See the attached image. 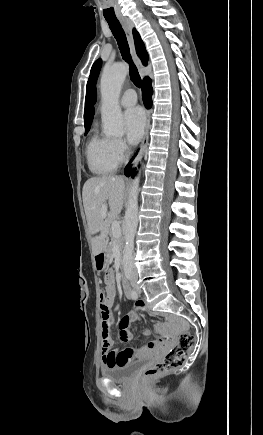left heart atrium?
I'll return each mask as SVG.
<instances>
[{
  "label": "left heart atrium",
  "mask_w": 263,
  "mask_h": 435,
  "mask_svg": "<svg viewBox=\"0 0 263 435\" xmlns=\"http://www.w3.org/2000/svg\"><path fill=\"white\" fill-rule=\"evenodd\" d=\"M126 139L131 144H136L141 139L145 129L144 112L139 107H132L124 114Z\"/></svg>",
  "instance_id": "39dd6f15"
}]
</instances>
